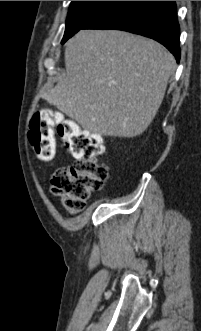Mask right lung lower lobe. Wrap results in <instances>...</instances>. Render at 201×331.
Segmentation results:
<instances>
[{
	"instance_id": "1",
	"label": "right lung lower lobe",
	"mask_w": 201,
	"mask_h": 331,
	"mask_svg": "<svg viewBox=\"0 0 201 331\" xmlns=\"http://www.w3.org/2000/svg\"><path fill=\"white\" fill-rule=\"evenodd\" d=\"M82 29H117L152 38L180 60L175 1H113Z\"/></svg>"
}]
</instances>
